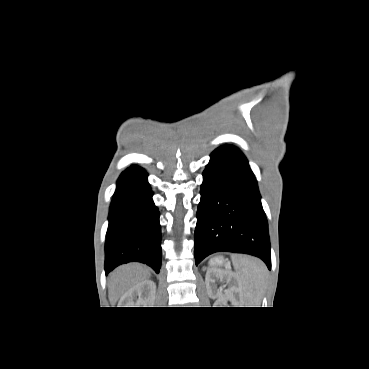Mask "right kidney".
<instances>
[{
  "label": "right kidney",
  "mask_w": 369,
  "mask_h": 369,
  "mask_svg": "<svg viewBox=\"0 0 369 369\" xmlns=\"http://www.w3.org/2000/svg\"><path fill=\"white\" fill-rule=\"evenodd\" d=\"M155 295L156 284L152 280H144L123 295V307H152Z\"/></svg>",
  "instance_id": "1"
}]
</instances>
